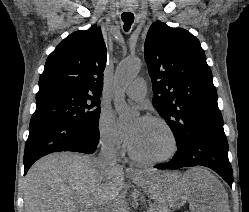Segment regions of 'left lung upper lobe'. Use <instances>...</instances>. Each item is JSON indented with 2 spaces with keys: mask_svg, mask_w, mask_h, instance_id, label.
<instances>
[{
  "mask_svg": "<svg viewBox=\"0 0 249 212\" xmlns=\"http://www.w3.org/2000/svg\"><path fill=\"white\" fill-rule=\"evenodd\" d=\"M144 55L153 106L173 131L177 146L194 129L223 126L212 72L195 36L157 21L147 34Z\"/></svg>",
  "mask_w": 249,
  "mask_h": 212,
  "instance_id": "5c2ea615",
  "label": "left lung upper lobe"
}]
</instances>
